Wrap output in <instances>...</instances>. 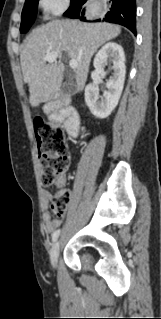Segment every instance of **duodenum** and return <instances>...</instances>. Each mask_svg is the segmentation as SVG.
<instances>
[{
	"label": "duodenum",
	"instance_id": "obj_1",
	"mask_svg": "<svg viewBox=\"0 0 161 319\" xmlns=\"http://www.w3.org/2000/svg\"><path fill=\"white\" fill-rule=\"evenodd\" d=\"M45 113L51 121L65 125L70 136H76L81 120L76 108L69 105V99L60 96L50 102Z\"/></svg>",
	"mask_w": 161,
	"mask_h": 319
}]
</instances>
